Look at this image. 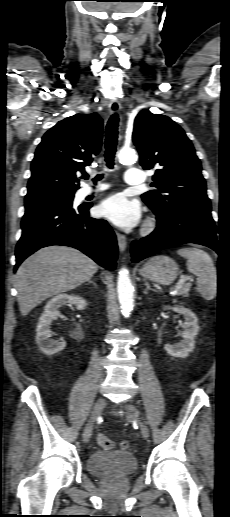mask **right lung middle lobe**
Wrapping results in <instances>:
<instances>
[{
  "instance_id": "dd1d6c3e",
  "label": "right lung middle lobe",
  "mask_w": 230,
  "mask_h": 517,
  "mask_svg": "<svg viewBox=\"0 0 230 517\" xmlns=\"http://www.w3.org/2000/svg\"><path fill=\"white\" fill-rule=\"evenodd\" d=\"M73 197H74V194L53 196V197L41 199L38 201H34L31 203H25V206L38 205V204H57V205H64V206H72Z\"/></svg>"
}]
</instances>
